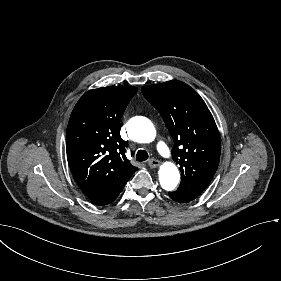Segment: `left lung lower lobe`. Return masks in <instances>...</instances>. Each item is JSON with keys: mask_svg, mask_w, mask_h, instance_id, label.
I'll use <instances>...</instances> for the list:
<instances>
[{"mask_svg": "<svg viewBox=\"0 0 281 281\" xmlns=\"http://www.w3.org/2000/svg\"><path fill=\"white\" fill-rule=\"evenodd\" d=\"M169 196L177 202H188L195 199L198 195L178 188L175 192H169Z\"/></svg>", "mask_w": 281, "mask_h": 281, "instance_id": "obj_1", "label": "left lung lower lobe"}]
</instances>
